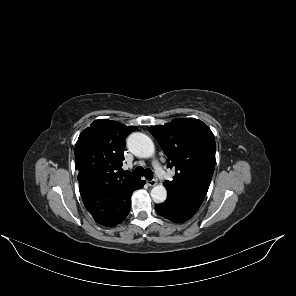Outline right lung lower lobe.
<instances>
[{
  "label": "right lung lower lobe",
  "mask_w": 296,
  "mask_h": 296,
  "mask_svg": "<svg viewBox=\"0 0 296 296\" xmlns=\"http://www.w3.org/2000/svg\"><path fill=\"white\" fill-rule=\"evenodd\" d=\"M78 182L86 209L106 227L116 226L127 217L132 193L145 183L139 178L127 185L98 186L88 177L78 178Z\"/></svg>",
  "instance_id": "1"
}]
</instances>
